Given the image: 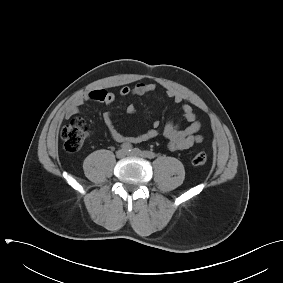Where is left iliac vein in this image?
<instances>
[{
    "mask_svg": "<svg viewBox=\"0 0 283 283\" xmlns=\"http://www.w3.org/2000/svg\"><path fill=\"white\" fill-rule=\"evenodd\" d=\"M129 154L138 157H145L144 153L138 148L132 149V151Z\"/></svg>",
    "mask_w": 283,
    "mask_h": 283,
    "instance_id": "4c4485c4",
    "label": "left iliac vein"
}]
</instances>
